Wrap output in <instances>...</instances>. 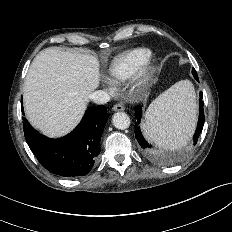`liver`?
I'll return each mask as SVG.
<instances>
[{
	"instance_id": "6515ba94",
	"label": "liver",
	"mask_w": 232,
	"mask_h": 232,
	"mask_svg": "<svg viewBox=\"0 0 232 232\" xmlns=\"http://www.w3.org/2000/svg\"><path fill=\"white\" fill-rule=\"evenodd\" d=\"M95 55L57 47L42 50L33 60L23 88L28 120L39 131L59 137L80 121L89 94L99 84Z\"/></svg>"
}]
</instances>
